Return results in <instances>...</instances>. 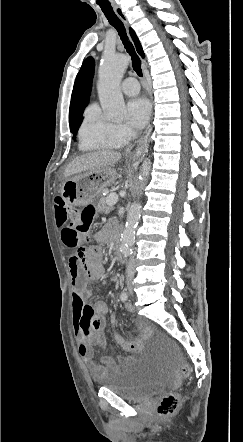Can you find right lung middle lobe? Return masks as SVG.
Returning <instances> with one entry per match:
<instances>
[{
  "instance_id": "dd1d6c3e",
  "label": "right lung middle lobe",
  "mask_w": 243,
  "mask_h": 442,
  "mask_svg": "<svg viewBox=\"0 0 243 442\" xmlns=\"http://www.w3.org/2000/svg\"><path fill=\"white\" fill-rule=\"evenodd\" d=\"M82 120L75 122L74 124L70 125V131L73 133V135H75L78 131V128L81 124Z\"/></svg>"
}]
</instances>
